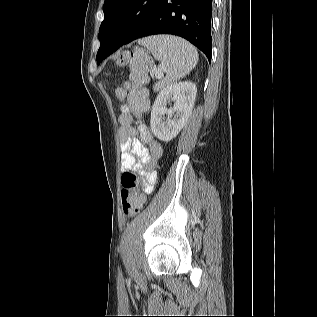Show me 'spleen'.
Segmentation results:
<instances>
[{
    "label": "spleen",
    "mask_w": 317,
    "mask_h": 317,
    "mask_svg": "<svg viewBox=\"0 0 317 317\" xmlns=\"http://www.w3.org/2000/svg\"><path fill=\"white\" fill-rule=\"evenodd\" d=\"M147 47L156 60L161 61L160 69L166 77L154 85V91L163 90L186 76L198 62L197 50L187 41L170 35L147 37L139 41Z\"/></svg>",
    "instance_id": "obj_1"
}]
</instances>
